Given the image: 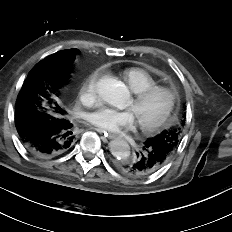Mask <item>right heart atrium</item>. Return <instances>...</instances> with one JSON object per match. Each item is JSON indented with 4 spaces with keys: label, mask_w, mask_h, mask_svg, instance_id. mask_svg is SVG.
Returning a JSON list of instances; mask_svg holds the SVG:
<instances>
[{
    "label": "right heart atrium",
    "mask_w": 232,
    "mask_h": 232,
    "mask_svg": "<svg viewBox=\"0 0 232 232\" xmlns=\"http://www.w3.org/2000/svg\"><path fill=\"white\" fill-rule=\"evenodd\" d=\"M99 74V71H95L87 78L81 88V94L83 96H88L91 99H95L97 95V81L99 78Z\"/></svg>",
    "instance_id": "d8ad5b80"
}]
</instances>
